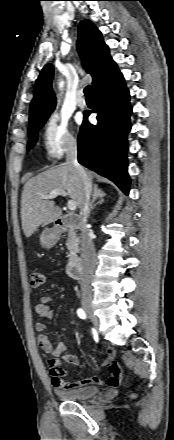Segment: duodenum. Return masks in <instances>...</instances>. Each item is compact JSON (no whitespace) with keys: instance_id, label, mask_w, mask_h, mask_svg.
<instances>
[{"instance_id":"duodenum-1","label":"duodenum","mask_w":174,"mask_h":440,"mask_svg":"<svg viewBox=\"0 0 174 440\" xmlns=\"http://www.w3.org/2000/svg\"><path fill=\"white\" fill-rule=\"evenodd\" d=\"M83 226V219L79 215H64L57 219L56 228L58 233L68 229H79ZM83 264L79 258H73L69 263V273L74 278L83 276Z\"/></svg>"}]
</instances>
